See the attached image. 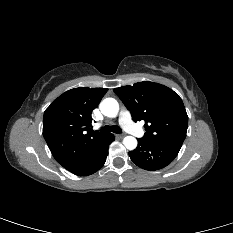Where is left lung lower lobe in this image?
<instances>
[{
	"instance_id": "left-lung-lower-lobe-1",
	"label": "left lung lower lobe",
	"mask_w": 233,
	"mask_h": 233,
	"mask_svg": "<svg viewBox=\"0 0 233 233\" xmlns=\"http://www.w3.org/2000/svg\"><path fill=\"white\" fill-rule=\"evenodd\" d=\"M181 146L179 142H150L140 138L137 148L129 152V156L143 169L158 170L174 160Z\"/></svg>"
}]
</instances>
